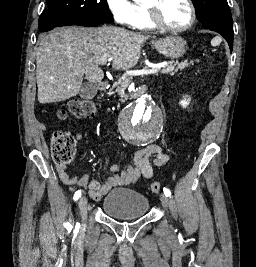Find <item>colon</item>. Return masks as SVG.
Returning a JSON list of instances; mask_svg holds the SVG:
<instances>
[{
	"instance_id": "5ec220e1",
	"label": "colon",
	"mask_w": 256,
	"mask_h": 267,
	"mask_svg": "<svg viewBox=\"0 0 256 267\" xmlns=\"http://www.w3.org/2000/svg\"><path fill=\"white\" fill-rule=\"evenodd\" d=\"M96 109V103L93 99L81 98L71 100L68 105L58 111L57 116L60 119L67 117L83 118L91 115ZM76 148V140L72 135L65 132L55 133L53 136V152L54 158L58 163L69 164L73 158ZM163 189L161 182H153L150 184L152 193H160Z\"/></svg>"
}]
</instances>
